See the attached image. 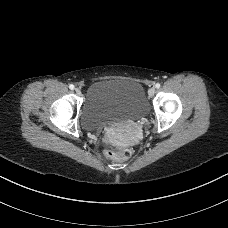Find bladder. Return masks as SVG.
<instances>
[{"label":"bladder","mask_w":228,"mask_h":228,"mask_svg":"<svg viewBox=\"0 0 228 228\" xmlns=\"http://www.w3.org/2000/svg\"><path fill=\"white\" fill-rule=\"evenodd\" d=\"M149 105L143 86L134 80L93 82L87 89L80 119L87 130L146 117Z\"/></svg>","instance_id":"1"}]
</instances>
